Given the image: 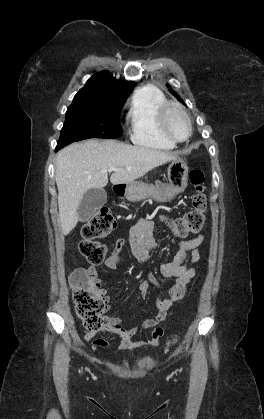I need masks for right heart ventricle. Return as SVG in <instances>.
Returning a JSON list of instances; mask_svg holds the SVG:
<instances>
[{"mask_svg": "<svg viewBox=\"0 0 264 419\" xmlns=\"http://www.w3.org/2000/svg\"><path fill=\"white\" fill-rule=\"evenodd\" d=\"M166 101L163 92L150 85L134 92L127 113L129 137L134 144L162 151L175 148V144L161 134L158 124L159 110Z\"/></svg>", "mask_w": 264, "mask_h": 419, "instance_id": "e07e8e85", "label": "right heart ventricle"}]
</instances>
